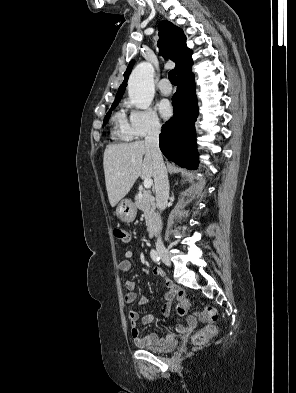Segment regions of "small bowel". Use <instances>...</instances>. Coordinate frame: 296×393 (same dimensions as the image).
Here are the masks:
<instances>
[{
  "label": "small bowel",
  "mask_w": 296,
  "mask_h": 393,
  "mask_svg": "<svg viewBox=\"0 0 296 393\" xmlns=\"http://www.w3.org/2000/svg\"><path fill=\"white\" fill-rule=\"evenodd\" d=\"M135 258V254L132 251H126L124 253V258L119 261L118 269L121 272H129L132 268V260ZM154 274L164 277V273L160 268L154 269ZM168 292L164 297V303L162 307V315L167 316L171 310V304L176 298L177 300H186L185 292L178 286L172 284L169 280L165 283ZM127 293L124 296V302L127 305H132L137 301V295L135 293V283L133 281L126 282ZM149 302V299L145 296L138 300L139 305H144ZM128 319L131 326V335L137 346H162L174 341L176 335H185L193 332L197 327V319L194 315H190L187 318L186 325L179 324L175 328L174 333H167L164 337H159L155 333H149L145 336L141 335L140 329L138 327L139 315L136 311L130 310L128 312ZM154 317L152 315H146L141 319V322L145 325L152 324L154 322Z\"/></svg>",
  "instance_id": "1"
}]
</instances>
